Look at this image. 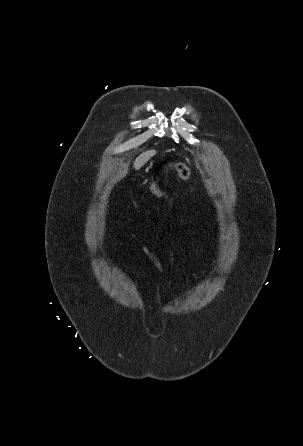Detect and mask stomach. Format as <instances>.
Masks as SVG:
<instances>
[{
  "label": "stomach",
  "instance_id": "1",
  "mask_svg": "<svg viewBox=\"0 0 303 446\" xmlns=\"http://www.w3.org/2000/svg\"><path fill=\"white\" fill-rule=\"evenodd\" d=\"M171 169H172V166L170 164H168L163 167L162 172L169 173L171 171Z\"/></svg>",
  "mask_w": 303,
  "mask_h": 446
}]
</instances>
